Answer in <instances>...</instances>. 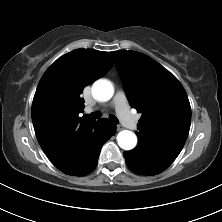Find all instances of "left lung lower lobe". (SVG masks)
<instances>
[{
    "label": "left lung lower lobe",
    "instance_id": "1",
    "mask_svg": "<svg viewBox=\"0 0 222 222\" xmlns=\"http://www.w3.org/2000/svg\"><path fill=\"white\" fill-rule=\"evenodd\" d=\"M126 164L139 175H156L167 169L174 161L151 146L138 143V146L123 153Z\"/></svg>",
    "mask_w": 222,
    "mask_h": 222
}]
</instances>
